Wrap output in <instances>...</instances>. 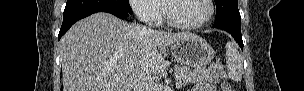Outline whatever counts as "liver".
<instances>
[{
	"label": "liver",
	"mask_w": 304,
	"mask_h": 91,
	"mask_svg": "<svg viewBox=\"0 0 304 91\" xmlns=\"http://www.w3.org/2000/svg\"><path fill=\"white\" fill-rule=\"evenodd\" d=\"M189 32L169 33L100 12L76 22L60 41L64 91H131L141 73L168 67L166 48Z\"/></svg>",
	"instance_id": "6515ba94"
}]
</instances>
